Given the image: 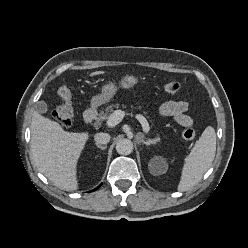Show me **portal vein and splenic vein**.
<instances>
[{
	"mask_svg": "<svg viewBox=\"0 0 248 248\" xmlns=\"http://www.w3.org/2000/svg\"><path fill=\"white\" fill-rule=\"evenodd\" d=\"M125 115H127V113L125 111H122L120 109L115 110L108 118L107 126L108 127H115L117 124H119L122 121V119L124 118ZM135 118L142 125L144 132L147 133L150 130V127H149V124H148L146 118L141 114H136Z\"/></svg>",
	"mask_w": 248,
	"mask_h": 248,
	"instance_id": "obj_1",
	"label": "portal vein and splenic vein"
}]
</instances>
